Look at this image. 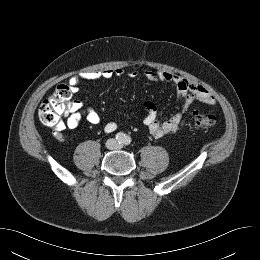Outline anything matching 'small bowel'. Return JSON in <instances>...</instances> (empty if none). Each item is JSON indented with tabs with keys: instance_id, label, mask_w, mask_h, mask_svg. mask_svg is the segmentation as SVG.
<instances>
[{
	"instance_id": "1",
	"label": "small bowel",
	"mask_w": 260,
	"mask_h": 260,
	"mask_svg": "<svg viewBox=\"0 0 260 260\" xmlns=\"http://www.w3.org/2000/svg\"><path fill=\"white\" fill-rule=\"evenodd\" d=\"M123 75L124 70L122 68L85 71L71 76L69 78V84L72 90L76 91L82 81L111 79ZM128 75L130 78L135 79L140 76V73L137 70H132ZM143 75L149 81H161L173 84L176 89L177 98L182 101L181 109L163 122L158 120L157 109L153 102L148 101L144 104V124L149 132L156 138H163L181 129L185 123L184 114L194 102L197 101L206 105H214L216 103L215 97L206 87L185 77L167 71L150 69L145 70ZM82 119H86L91 124H98L100 122V116L97 111L92 108L83 109L82 103L78 100L71 101L66 114L65 125L70 129H75ZM117 127L118 124L116 122L110 121L105 124L104 131L111 133L114 132ZM63 129L64 125L58 128L56 133L57 137L62 138L61 131Z\"/></svg>"
}]
</instances>
